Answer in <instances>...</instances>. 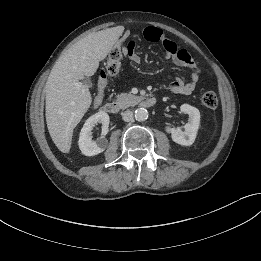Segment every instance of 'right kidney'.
I'll list each match as a JSON object with an SVG mask.
<instances>
[{
    "mask_svg": "<svg viewBox=\"0 0 261 261\" xmlns=\"http://www.w3.org/2000/svg\"><path fill=\"white\" fill-rule=\"evenodd\" d=\"M109 122V115L103 111L92 115L86 120L78 140V145L82 154L85 156H94L106 149L108 141L104 136L108 133ZM97 123L102 124V136L96 142H93L91 131Z\"/></svg>",
    "mask_w": 261,
    "mask_h": 261,
    "instance_id": "ca27d5eb",
    "label": "right kidney"
}]
</instances>
